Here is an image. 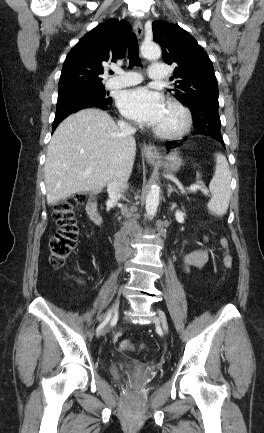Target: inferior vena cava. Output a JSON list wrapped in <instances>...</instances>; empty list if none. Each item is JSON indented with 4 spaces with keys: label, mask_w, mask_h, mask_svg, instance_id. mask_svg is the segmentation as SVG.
<instances>
[{
    "label": "inferior vena cava",
    "mask_w": 264,
    "mask_h": 433,
    "mask_svg": "<svg viewBox=\"0 0 264 433\" xmlns=\"http://www.w3.org/2000/svg\"><path fill=\"white\" fill-rule=\"evenodd\" d=\"M118 125L121 134L125 137H131L136 132L134 127L123 120L119 121ZM127 180V178L120 174H112L107 179V190L109 198L113 203H116L118 200H120L122 193L127 190Z\"/></svg>",
    "instance_id": "obj_1"
}]
</instances>
